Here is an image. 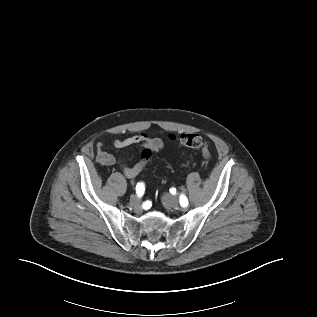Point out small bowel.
Returning <instances> with one entry per match:
<instances>
[{"label": "small bowel", "mask_w": 317, "mask_h": 317, "mask_svg": "<svg viewBox=\"0 0 317 317\" xmlns=\"http://www.w3.org/2000/svg\"><path fill=\"white\" fill-rule=\"evenodd\" d=\"M112 145L117 149H123L133 145H144L153 149V151H159L163 147V142L160 138H151L145 133L137 134L123 139H114ZM202 152L205 156L209 155L208 146L204 145ZM96 161L99 165L103 167H111L119 165L122 169L123 174L127 178L136 177L144 168L145 163L138 162L134 166H129L126 164L125 159L116 158L109 154L103 144L97 146L96 151Z\"/></svg>", "instance_id": "obj_1"}]
</instances>
